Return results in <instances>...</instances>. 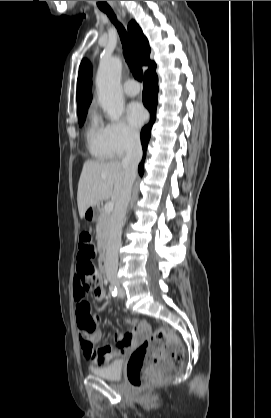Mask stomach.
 Wrapping results in <instances>:
<instances>
[{"label": "stomach", "mask_w": 271, "mask_h": 418, "mask_svg": "<svg viewBox=\"0 0 271 418\" xmlns=\"http://www.w3.org/2000/svg\"><path fill=\"white\" fill-rule=\"evenodd\" d=\"M98 212H99V205L91 206L85 211L84 218L87 221L93 222L97 219Z\"/></svg>", "instance_id": "0dacf381"}]
</instances>
